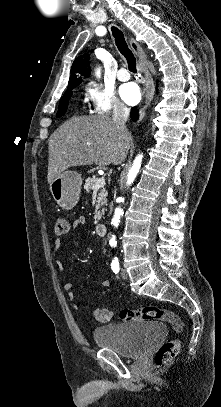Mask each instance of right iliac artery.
Listing matches in <instances>:
<instances>
[{
	"instance_id": "82829eb1",
	"label": "right iliac artery",
	"mask_w": 221,
	"mask_h": 407,
	"mask_svg": "<svg viewBox=\"0 0 221 407\" xmlns=\"http://www.w3.org/2000/svg\"><path fill=\"white\" fill-rule=\"evenodd\" d=\"M111 268H112V270H113V272L115 273V274H117V273H119V271H120V267H119V264H112L111 265Z\"/></svg>"
}]
</instances>
